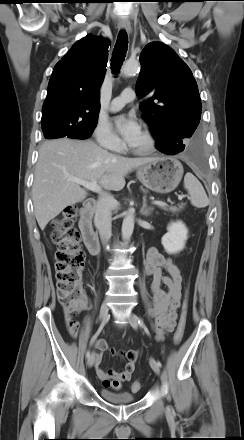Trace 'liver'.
Listing matches in <instances>:
<instances>
[{"label":"liver","instance_id":"obj_1","mask_svg":"<svg viewBox=\"0 0 244 440\" xmlns=\"http://www.w3.org/2000/svg\"><path fill=\"white\" fill-rule=\"evenodd\" d=\"M156 158H126L109 153L90 140L46 141L39 150L32 186L34 214L44 230L50 220L87 196L72 179L95 180L106 190L120 191L125 176Z\"/></svg>","mask_w":244,"mask_h":440}]
</instances>
